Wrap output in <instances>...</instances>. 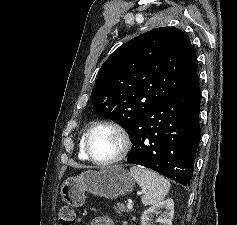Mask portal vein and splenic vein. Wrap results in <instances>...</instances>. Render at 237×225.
<instances>
[{"label":"portal vein and splenic vein","mask_w":237,"mask_h":225,"mask_svg":"<svg viewBox=\"0 0 237 225\" xmlns=\"http://www.w3.org/2000/svg\"><path fill=\"white\" fill-rule=\"evenodd\" d=\"M132 207H133L132 203H130V202L127 203V208H128V209H132Z\"/></svg>","instance_id":"1"}]
</instances>
